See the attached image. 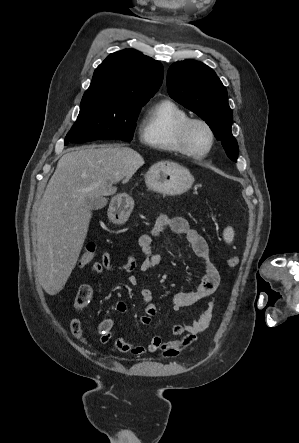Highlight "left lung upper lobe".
<instances>
[{"label":"left lung upper lobe","mask_w":299,"mask_h":443,"mask_svg":"<svg viewBox=\"0 0 299 443\" xmlns=\"http://www.w3.org/2000/svg\"><path fill=\"white\" fill-rule=\"evenodd\" d=\"M167 88L171 98L209 125L228 157L236 162L239 150L231 132L232 110L226 88L216 73L201 62L179 61L168 70Z\"/></svg>","instance_id":"1"}]
</instances>
